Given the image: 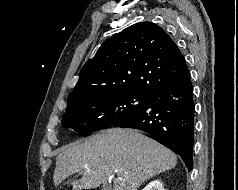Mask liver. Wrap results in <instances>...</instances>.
<instances>
[{
	"label": "liver",
	"mask_w": 238,
	"mask_h": 190,
	"mask_svg": "<svg viewBox=\"0 0 238 190\" xmlns=\"http://www.w3.org/2000/svg\"><path fill=\"white\" fill-rule=\"evenodd\" d=\"M176 164V155L157 141L133 129L113 128L64 147L56 158L53 180L58 186L78 173L82 177L72 182L73 190L94 189L118 170L113 190H138Z\"/></svg>",
	"instance_id": "1"
}]
</instances>
